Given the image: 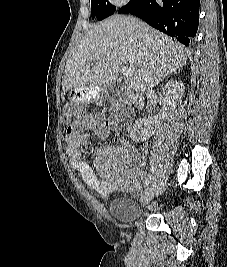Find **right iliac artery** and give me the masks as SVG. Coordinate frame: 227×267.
I'll use <instances>...</instances> for the list:
<instances>
[{
    "label": "right iliac artery",
    "mask_w": 227,
    "mask_h": 267,
    "mask_svg": "<svg viewBox=\"0 0 227 267\" xmlns=\"http://www.w3.org/2000/svg\"><path fill=\"white\" fill-rule=\"evenodd\" d=\"M151 175H148V177L145 180L144 187H146L150 183Z\"/></svg>",
    "instance_id": "obj_1"
}]
</instances>
